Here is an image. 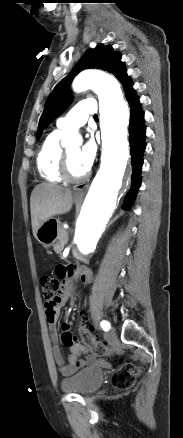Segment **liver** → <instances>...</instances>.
Instances as JSON below:
<instances>
[{
    "label": "liver",
    "instance_id": "obj_1",
    "mask_svg": "<svg viewBox=\"0 0 183 438\" xmlns=\"http://www.w3.org/2000/svg\"><path fill=\"white\" fill-rule=\"evenodd\" d=\"M72 208V191L61 186L43 183L37 185L31 194V224L36 238L41 224L49 218L68 213Z\"/></svg>",
    "mask_w": 183,
    "mask_h": 438
}]
</instances>
